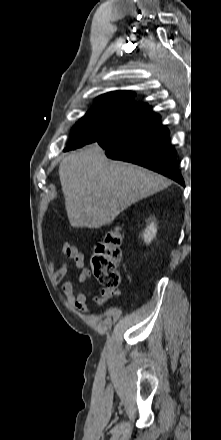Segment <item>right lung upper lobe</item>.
Wrapping results in <instances>:
<instances>
[{
    "label": "right lung upper lobe",
    "instance_id": "right-lung-upper-lobe-1",
    "mask_svg": "<svg viewBox=\"0 0 221 440\" xmlns=\"http://www.w3.org/2000/svg\"><path fill=\"white\" fill-rule=\"evenodd\" d=\"M133 93L131 91H114L99 96L97 103H109L113 104L120 110H131L134 113L148 107L144 103H134L132 101Z\"/></svg>",
    "mask_w": 221,
    "mask_h": 440
}]
</instances>
